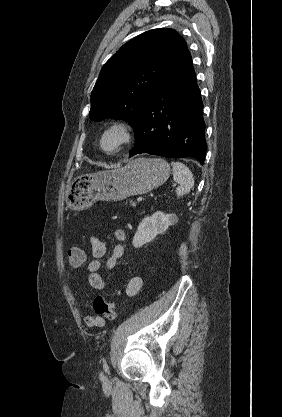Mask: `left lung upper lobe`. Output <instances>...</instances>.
Returning a JSON list of instances; mask_svg holds the SVG:
<instances>
[{
	"label": "left lung upper lobe",
	"mask_w": 282,
	"mask_h": 417,
	"mask_svg": "<svg viewBox=\"0 0 282 417\" xmlns=\"http://www.w3.org/2000/svg\"><path fill=\"white\" fill-rule=\"evenodd\" d=\"M186 50L185 40L164 28L124 44L101 69L91 93L90 119H123L134 126L141 107Z\"/></svg>",
	"instance_id": "left-lung-upper-lobe-1"
}]
</instances>
